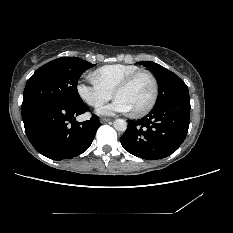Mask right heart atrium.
<instances>
[{"instance_id": "d8ad5b80", "label": "right heart atrium", "mask_w": 233, "mask_h": 233, "mask_svg": "<svg viewBox=\"0 0 233 233\" xmlns=\"http://www.w3.org/2000/svg\"><path fill=\"white\" fill-rule=\"evenodd\" d=\"M76 89L79 97L93 108H99L112 98L111 91L93 80L89 84L79 83Z\"/></svg>"}]
</instances>
